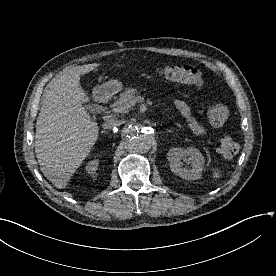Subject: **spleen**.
Wrapping results in <instances>:
<instances>
[{
	"instance_id": "spleen-1",
	"label": "spleen",
	"mask_w": 276,
	"mask_h": 276,
	"mask_svg": "<svg viewBox=\"0 0 276 276\" xmlns=\"http://www.w3.org/2000/svg\"><path fill=\"white\" fill-rule=\"evenodd\" d=\"M212 177L216 180L219 179L221 177V169L215 168L213 170V174Z\"/></svg>"
}]
</instances>
